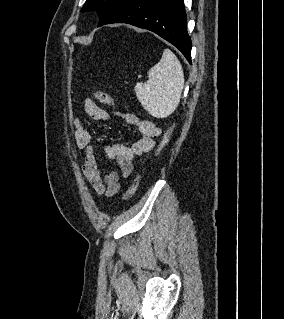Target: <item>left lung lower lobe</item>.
<instances>
[{
    "label": "left lung lower lobe",
    "mask_w": 284,
    "mask_h": 319,
    "mask_svg": "<svg viewBox=\"0 0 284 319\" xmlns=\"http://www.w3.org/2000/svg\"><path fill=\"white\" fill-rule=\"evenodd\" d=\"M127 23L150 30L173 44L191 64L183 0H125L105 23Z\"/></svg>",
    "instance_id": "1"
}]
</instances>
